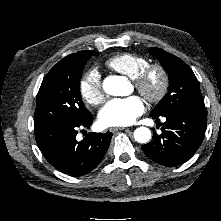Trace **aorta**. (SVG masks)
<instances>
[{"label":"aorta","instance_id":"aorta-1","mask_svg":"<svg viewBox=\"0 0 221 221\" xmlns=\"http://www.w3.org/2000/svg\"><path fill=\"white\" fill-rule=\"evenodd\" d=\"M104 91L112 96H125L128 94V82L122 76H108L103 81ZM134 139L139 143H148L151 131L147 127H139L134 131Z\"/></svg>","mask_w":221,"mask_h":221}]
</instances>
